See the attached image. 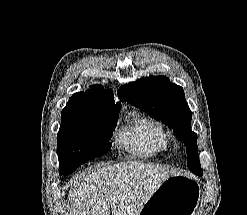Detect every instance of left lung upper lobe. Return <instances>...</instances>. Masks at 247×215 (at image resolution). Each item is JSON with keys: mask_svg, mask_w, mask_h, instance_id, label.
Listing matches in <instances>:
<instances>
[{"mask_svg": "<svg viewBox=\"0 0 247 215\" xmlns=\"http://www.w3.org/2000/svg\"><path fill=\"white\" fill-rule=\"evenodd\" d=\"M117 93L122 101L140 108L171 128L186 145L190 171L201 170L197 135L191 131L192 112L182 87L170 83L165 76H149L121 86Z\"/></svg>", "mask_w": 247, "mask_h": 215, "instance_id": "left-lung-upper-lobe-1", "label": "left lung upper lobe"}]
</instances>
